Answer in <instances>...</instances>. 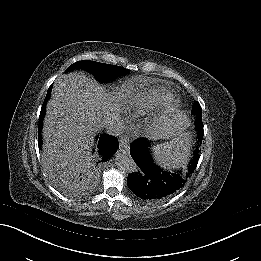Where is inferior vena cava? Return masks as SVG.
Segmentation results:
<instances>
[{"instance_id": "inferior-vena-cava-1", "label": "inferior vena cava", "mask_w": 261, "mask_h": 261, "mask_svg": "<svg viewBox=\"0 0 261 261\" xmlns=\"http://www.w3.org/2000/svg\"><path fill=\"white\" fill-rule=\"evenodd\" d=\"M107 134L120 136L124 132V123L118 117H112L105 121L104 126Z\"/></svg>"}]
</instances>
